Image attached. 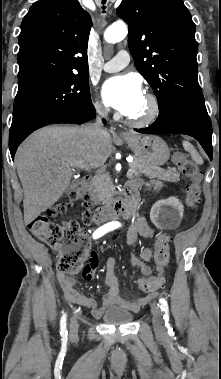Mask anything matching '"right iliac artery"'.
Wrapping results in <instances>:
<instances>
[{
    "label": "right iliac artery",
    "mask_w": 221,
    "mask_h": 379,
    "mask_svg": "<svg viewBox=\"0 0 221 379\" xmlns=\"http://www.w3.org/2000/svg\"><path fill=\"white\" fill-rule=\"evenodd\" d=\"M118 225L116 223H108L105 224L101 227H99L92 235L93 239H98L104 234L108 233L109 231H112L116 229ZM61 334L63 336L67 335V330H66V314H64L61 318Z\"/></svg>",
    "instance_id": "right-iliac-artery-1"
}]
</instances>
